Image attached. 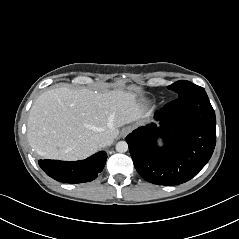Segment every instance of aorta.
I'll use <instances>...</instances> for the list:
<instances>
[{
	"label": "aorta",
	"mask_w": 239,
	"mask_h": 239,
	"mask_svg": "<svg viewBox=\"0 0 239 239\" xmlns=\"http://www.w3.org/2000/svg\"><path fill=\"white\" fill-rule=\"evenodd\" d=\"M128 150V144L126 141H119L116 144V151L119 153H124Z\"/></svg>",
	"instance_id": "762f6f07"
}]
</instances>
